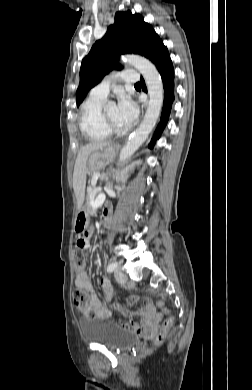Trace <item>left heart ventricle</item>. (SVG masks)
Returning a JSON list of instances; mask_svg holds the SVG:
<instances>
[{
	"instance_id": "1",
	"label": "left heart ventricle",
	"mask_w": 252,
	"mask_h": 390,
	"mask_svg": "<svg viewBox=\"0 0 252 390\" xmlns=\"http://www.w3.org/2000/svg\"><path fill=\"white\" fill-rule=\"evenodd\" d=\"M105 113L108 117V119L117 127H123L124 125L119 120L118 112H117V106L114 104H110L106 107Z\"/></svg>"
}]
</instances>
